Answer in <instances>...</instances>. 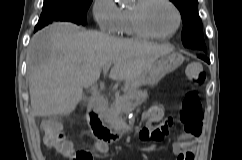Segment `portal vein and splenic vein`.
Masks as SVG:
<instances>
[{"label": "portal vein and splenic vein", "instance_id": "18ae733b", "mask_svg": "<svg viewBox=\"0 0 242 160\" xmlns=\"http://www.w3.org/2000/svg\"><path fill=\"white\" fill-rule=\"evenodd\" d=\"M110 67H111V65H106V66L103 68V72H104V74H106V73L109 71Z\"/></svg>", "mask_w": 242, "mask_h": 160}]
</instances>
